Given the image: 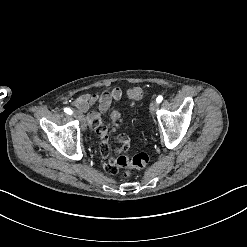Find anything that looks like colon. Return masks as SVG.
I'll use <instances>...</instances> for the list:
<instances>
[{"mask_svg": "<svg viewBox=\"0 0 247 247\" xmlns=\"http://www.w3.org/2000/svg\"><path fill=\"white\" fill-rule=\"evenodd\" d=\"M145 95V90L140 86H135L128 91V96L133 100H139ZM150 161V156L145 152H138L134 155L133 152H128L127 157L119 156L116 159V164L119 167H124L126 171L125 176L129 175L128 171H132L134 168L142 170Z\"/></svg>", "mask_w": 247, "mask_h": 247, "instance_id": "1", "label": "colon"}]
</instances>
